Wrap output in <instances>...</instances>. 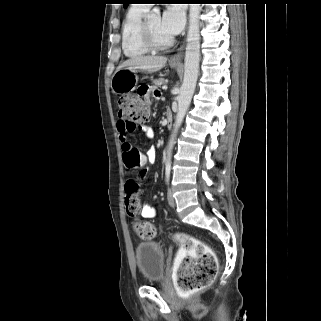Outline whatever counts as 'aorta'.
Masks as SVG:
<instances>
[{"instance_id":"obj_1","label":"aorta","mask_w":321,"mask_h":321,"mask_svg":"<svg viewBox=\"0 0 321 321\" xmlns=\"http://www.w3.org/2000/svg\"><path fill=\"white\" fill-rule=\"evenodd\" d=\"M200 9V4H190L189 28L185 52L184 80L180 89V94L178 96V111L174 123V128L167 147L166 161L168 163L171 160L172 149L175 143L176 135L184 120L197 83L200 61ZM152 12L155 14H159L160 9L158 7H154L152 9Z\"/></svg>"}]
</instances>
